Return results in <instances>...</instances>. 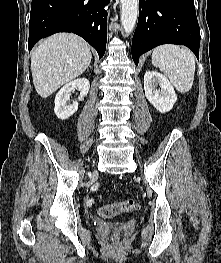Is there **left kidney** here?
<instances>
[{"label": "left kidney", "mask_w": 221, "mask_h": 263, "mask_svg": "<svg viewBox=\"0 0 221 263\" xmlns=\"http://www.w3.org/2000/svg\"><path fill=\"white\" fill-rule=\"evenodd\" d=\"M144 90L148 101L161 113L170 111L177 100V95L171 83L157 71H147L145 73Z\"/></svg>", "instance_id": "obj_1"}]
</instances>
